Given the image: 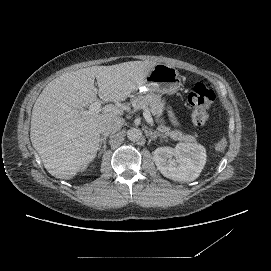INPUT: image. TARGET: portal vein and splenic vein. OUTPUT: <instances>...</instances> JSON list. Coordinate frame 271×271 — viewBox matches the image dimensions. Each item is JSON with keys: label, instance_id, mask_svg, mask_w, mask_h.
Masks as SVG:
<instances>
[{"label": "portal vein and splenic vein", "instance_id": "1", "mask_svg": "<svg viewBox=\"0 0 271 271\" xmlns=\"http://www.w3.org/2000/svg\"><path fill=\"white\" fill-rule=\"evenodd\" d=\"M101 103L102 101L100 99H97L96 101L92 102L89 106V112L90 113H95L98 112L99 109L101 108ZM145 120L147 121L148 124L151 125L152 128H155V122L151 116V113L147 111L144 115Z\"/></svg>", "mask_w": 271, "mask_h": 271}]
</instances>
